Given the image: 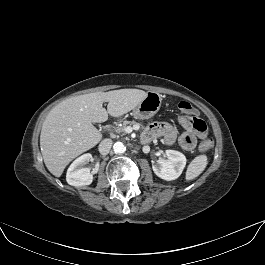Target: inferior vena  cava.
I'll return each mask as SVG.
<instances>
[{"mask_svg": "<svg viewBox=\"0 0 265 265\" xmlns=\"http://www.w3.org/2000/svg\"><path fill=\"white\" fill-rule=\"evenodd\" d=\"M113 142L111 139H104L101 141V143L98 146V150L100 154L107 155L111 149Z\"/></svg>", "mask_w": 265, "mask_h": 265, "instance_id": "inferior-vena-cava-1", "label": "inferior vena cava"}]
</instances>
